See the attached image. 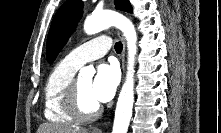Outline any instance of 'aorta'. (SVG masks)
<instances>
[{
  "label": "aorta",
  "mask_w": 221,
  "mask_h": 133,
  "mask_svg": "<svg viewBox=\"0 0 221 133\" xmlns=\"http://www.w3.org/2000/svg\"><path fill=\"white\" fill-rule=\"evenodd\" d=\"M111 26H115L123 32L128 49L127 73L118 97L112 133H127L134 103V65L137 53L135 27L125 16L107 10L87 17L84 22V31L88 35H93ZM94 73L95 70L91 67L82 68L80 71L83 76H92Z\"/></svg>",
  "instance_id": "1"
}]
</instances>
